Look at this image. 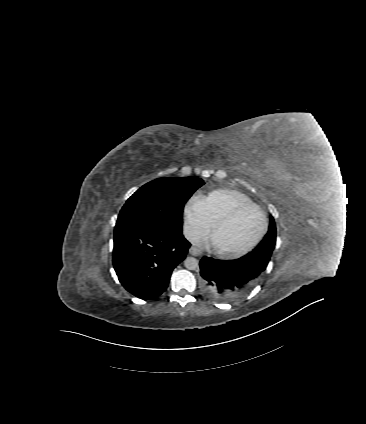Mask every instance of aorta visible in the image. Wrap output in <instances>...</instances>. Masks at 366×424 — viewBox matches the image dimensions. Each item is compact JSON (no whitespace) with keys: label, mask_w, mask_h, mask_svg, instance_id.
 Returning a JSON list of instances; mask_svg holds the SVG:
<instances>
[{"label":"aorta","mask_w":366,"mask_h":424,"mask_svg":"<svg viewBox=\"0 0 366 424\" xmlns=\"http://www.w3.org/2000/svg\"><path fill=\"white\" fill-rule=\"evenodd\" d=\"M184 266L188 270H196L199 267V261L194 257H187L184 261Z\"/></svg>","instance_id":"1"}]
</instances>
